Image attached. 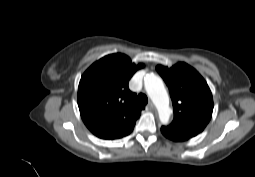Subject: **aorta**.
Here are the masks:
<instances>
[{
  "label": "aorta",
  "instance_id": "obj_1",
  "mask_svg": "<svg viewBox=\"0 0 255 177\" xmlns=\"http://www.w3.org/2000/svg\"><path fill=\"white\" fill-rule=\"evenodd\" d=\"M144 88L155 104L160 121L167 124L170 118L169 96L160 77L150 74L144 78Z\"/></svg>",
  "mask_w": 255,
  "mask_h": 177
}]
</instances>
